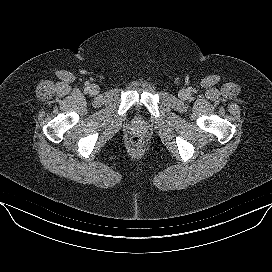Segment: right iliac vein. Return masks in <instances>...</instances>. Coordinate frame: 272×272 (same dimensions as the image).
<instances>
[{"label":"right iliac vein","mask_w":272,"mask_h":272,"mask_svg":"<svg viewBox=\"0 0 272 272\" xmlns=\"http://www.w3.org/2000/svg\"><path fill=\"white\" fill-rule=\"evenodd\" d=\"M89 92L92 94V95H96L99 93V87L97 85H91L89 87Z\"/></svg>","instance_id":"63e3f726"}]
</instances>
